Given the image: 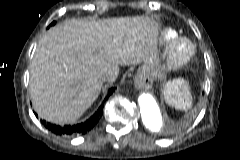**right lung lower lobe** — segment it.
Returning a JSON list of instances; mask_svg holds the SVG:
<instances>
[{"label":"right lung lower lobe","instance_id":"1","mask_svg":"<svg viewBox=\"0 0 240 160\" xmlns=\"http://www.w3.org/2000/svg\"><path fill=\"white\" fill-rule=\"evenodd\" d=\"M115 88H111L108 91V95L105 98L104 102L108 99V97L114 92ZM99 107V109L95 112L93 116H91L88 120H86L83 123L76 124V125H66V126H59L55 124H51L49 122H46L45 120H42V123L44 126L52 131L56 135L60 136H76V135H83L89 132L99 121V118L101 117L103 105Z\"/></svg>","mask_w":240,"mask_h":160}]
</instances>
